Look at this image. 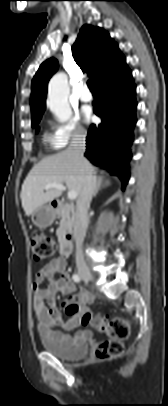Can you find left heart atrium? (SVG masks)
Wrapping results in <instances>:
<instances>
[{
    "label": "left heart atrium",
    "instance_id": "obj_1",
    "mask_svg": "<svg viewBox=\"0 0 168 406\" xmlns=\"http://www.w3.org/2000/svg\"><path fill=\"white\" fill-rule=\"evenodd\" d=\"M82 112H83V116H84L85 121L88 122V121H90L92 119V112H91V109L89 107H84Z\"/></svg>",
    "mask_w": 168,
    "mask_h": 406
}]
</instances>
